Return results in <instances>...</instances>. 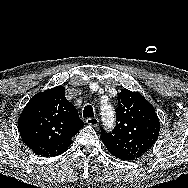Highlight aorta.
Instances as JSON below:
<instances>
[{
	"instance_id": "obj_1",
	"label": "aorta",
	"mask_w": 188,
	"mask_h": 188,
	"mask_svg": "<svg viewBox=\"0 0 188 188\" xmlns=\"http://www.w3.org/2000/svg\"><path fill=\"white\" fill-rule=\"evenodd\" d=\"M101 119L103 125L107 129L113 127L115 122V111L111 105H104L101 108Z\"/></svg>"
}]
</instances>
